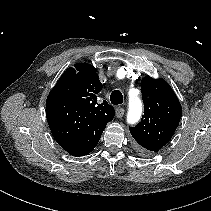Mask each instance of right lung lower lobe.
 Instances as JSON below:
<instances>
[{
  "label": "right lung lower lobe",
  "mask_w": 211,
  "mask_h": 211,
  "mask_svg": "<svg viewBox=\"0 0 211 211\" xmlns=\"http://www.w3.org/2000/svg\"><path fill=\"white\" fill-rule=\"evenodd\" d=\"M76 107V103L70 98L49 95L46 101V116L51 132L70 131L67 133H74L75 121H78L75 114ZM103 130L83 134L75 145H59L73 156H84L96 147Z\"/></svg>",
  "instance_id": "98d812e1"
}]
</instances>
